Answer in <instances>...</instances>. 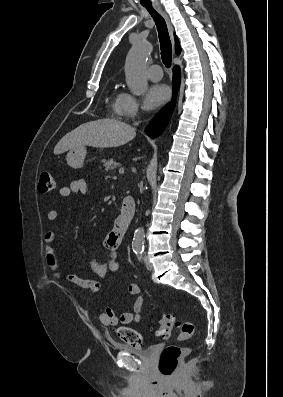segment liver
Wrapping results in <instances>:
<instances>
[{"instance_id": "6515ba94", "label": "liver", "mask_w": 283, "mask_h": 397, "mask_svg": "<svg viewBox=\"0 0 283 397\" xmlns=\"http://www.w3.org/2000/svg\"><path fill=\"white\" fill-rule=\"evenodd\" d=\"M136 136L135 129L115 119H99L84 123L66 134L55 146L54 154H62L84 146L119 147Z\"/></svg>"}]
</instances>
